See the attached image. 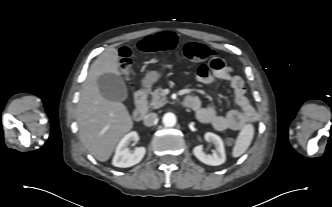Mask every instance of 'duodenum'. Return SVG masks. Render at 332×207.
<instances>
[{
	"label": "duodenum",
	"mask_w": 332,
	"mask_h": 207,
	"mask_svg": "<svg viewBox=\"0 0 332 207\" xmlns=\"http://www.w3.org/2000/svg\"><path fill=\"white\" fill-rule=\"evenodd\" d=\"M146 98H147V90L145 88L138 89L134 94L136 108L133 112V118L137 122H141L145 118L147 112ZM192 101H193L192 97L186 96L183 99V105L189 108L192 104Z\"/></svg>",
	"instance_id": "410a0bca"
}]
</instances>
